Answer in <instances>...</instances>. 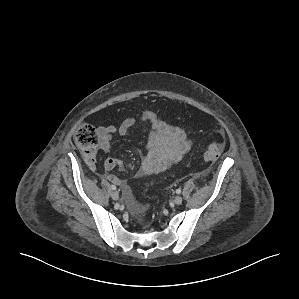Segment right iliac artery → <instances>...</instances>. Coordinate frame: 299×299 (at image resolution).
Segmentation results:
<instances>
[{"label": "right iliac artery", "mask_w": 299, "mask_h": 299, "mask_svg": "<svg viewBox=\"0 0 299 299\" xmlns=\"http://www.w3.org/2000/svg\"><path fill=\"white\" fill-rule=\"evenodd\" d=\"M111 189L112 190H116V186L115 185H111Z\"/></svg>", "instance_id": "right-iliac-artery-1"}]
</instances>
